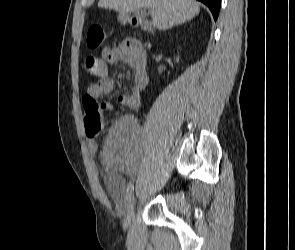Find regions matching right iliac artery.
Masks as SVG:
<instances>
[{
    "label": "right iliac artery",
    "mask_w": 295,
    "mask_h": 250,
    "mask_svg": "<svg viewBox=\"0 0 295 250\" xmlns=\"http://www.w3.org/2000/svg\"><path fill=\"white\" fill-rule=\"evenodd\" d=\"M134 190V186L133 184H130L127 188V193H126V197L125 199L128 200V198L130 197V195L132 194V191Z\"/></svg>",
    "instance_id": "1"
}]
</instances>
